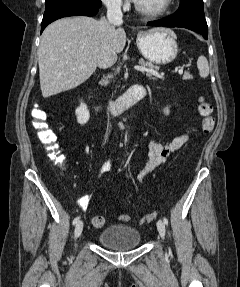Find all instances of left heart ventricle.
Listing matches in <instances>:
<instances>
[{"mask_svg":"<svg viewBox=\"0 0 240 287\" xmlns=\"http://www.w3.org/2000/svg\"><path fill=\"white\" fill-rule=\"evenodd\" d=\"M137 2L144 8L156 9L161 6L163 0H137Z\"/></svg>","mask_w":240,"mask_h":287,"instance_id":"1","label":"left heart ventricle"}]
</instances>
